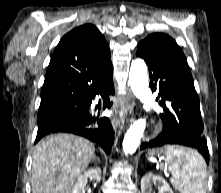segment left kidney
Segmentation results:
<instances>
[{"instance_id": "left-kidney-1", "label": "left kidney", "mask_w": 221, "mask_h": 193, "mask_svg": "<svg viewBox=\"0 0 221 193\" xmlns=\"http://www.w3.org/2000/svg\"><path fill=\"white\" fill-rule=\"evenodd\" d=\"M152 184L158 186V193H173L169 184L159 176H155L152 173H148L141 179V192L151 193Z\"/></svg>"}]
</instances>
